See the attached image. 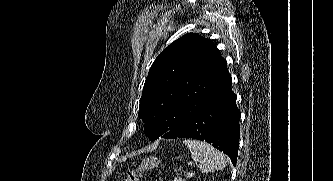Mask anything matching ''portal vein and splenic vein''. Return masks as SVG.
<instances>
[{
  "instance_id": "18ae733b",
  "label": "portal vein and splenic vein",
  "mask_w": 333,
  "mask_h": 181,
  "mask_svg": "<svg viewBox=\"0 0 333 181\" xmlns=\"http://www.w3.org/2000/svg\"><path fill=\"white\" fill-rule=\"evenodd\" d=\"M194 176V173L193 172H189L188 174H187V178H192Z\"/></svg>"
}]
</instances>
